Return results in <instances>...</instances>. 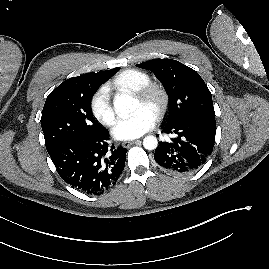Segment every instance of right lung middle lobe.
<instances>
[{"label": "right lung middle lobe", "instance_id": "dd1d6c3e", "mask_svg": "<svg viewBox=\"0 0 269 269\" xmlns=\"http://www.w3.org/2000/svg\"><path fill=\"white\" fill-rule=\"evenodd\" d=\"M119 69L87 82L58 86L48 95L41 117L48 152L69 139L84 138L103 129L92 115L91 99L99 86Z\"/></svg>", "mask_w": 269, "mask_h": 269}]
</instances>
